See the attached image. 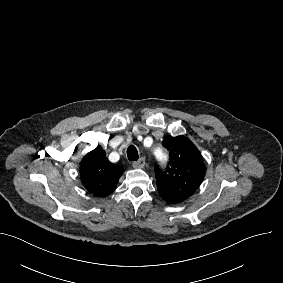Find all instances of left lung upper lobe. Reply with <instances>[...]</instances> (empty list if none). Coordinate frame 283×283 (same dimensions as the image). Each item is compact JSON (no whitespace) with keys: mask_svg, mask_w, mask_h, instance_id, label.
I'll return each mask as SVG.
<instances>
[{"mask_svg":"<svg viewBox=\"0 0 283 283\" xmlns=\"http://www.w3.org/2000/svg\"><path fill=\"white\" fill-rule=\"evenodd\" d=\"M169 150L170 161L165 170L155 166L157 189L169 203H180L190 197L205 176V166L197 147L186 137H167L162 142Z\"/></svg>","mask_w":283,"mask_h":283,"instance_id":"5c2ea615","label":"left lung upper lobe"}]
</instances>
